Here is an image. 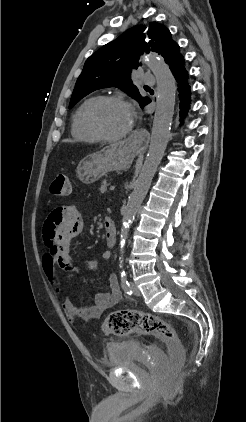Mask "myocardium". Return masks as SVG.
<instances>
[{"mask_svg":"<svg viewBox=\"0 0 246 422\" xmlns=\"http://www.w3.org/2000/svg\"><path fill=\"white\" fill-rule=\"evenodd\" d=\"M119 103L122 105H125L126 107H128L131 111L132 114V120L131 123L129 125V127L123 131L120 134L117 135H109L106 134L105 132H103L100 127L98 126L96 119H95V114L96 111L104 104L106 103ZM85 122L86 125L88 127V129L90 130V132L99 140V141H103V142H116L119 140L124 139L125 137H127L133 130V126H134V113L132 110L131 105L122 97L117 96V95H106V96H100L98 98H96L88 107L86 113H85Z\"/></svg>","mask_w":246,"mask_h":422,"instance_id":"myocardium-1","label":"myocardium"}]
</instances>
